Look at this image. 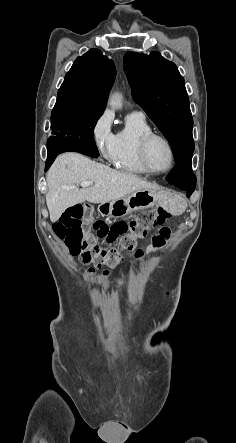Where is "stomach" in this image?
<instances>
[{
	"label": "stomach",
	"mask_w": 236,
	"mask_h": 443,
	"mask_svg": "<svg viewBox=\"0 0 236 443\" xmlns=\"http://www.w3.org/2000/svg\"><path fill=\"white\" fill-rule=\"evenodd\" d=\"M161 205L172 214H181L187 204L180 196L158 189H145L133 192L117 200L101 203L98 212L108 218H123L132 212Z\"/></svg>",
	"instance_id": "1"
}]
</instances>
